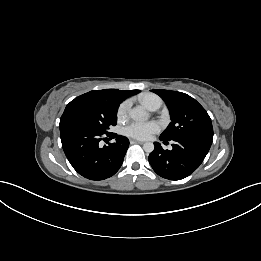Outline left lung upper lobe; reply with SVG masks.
Returning <instances> with one entry per match:
<instances>
[{"instance_id":"5c2ea615","label":"left lung upper lobe","mask_w":261,"mask_h":261,"mask_svg":"<svg viewBox=\"0 0 261 261\" xmlns=\"http://www.w3.org/2000/svg\"><path fill=\"white\" fill-rule=\"evenodd\" d=\"M166 103L171 122L160 135L170 141L183 137H199L213 139V127L206 110L191 96L177 91L157 90Z\"/></svg>"}]
</instances>
